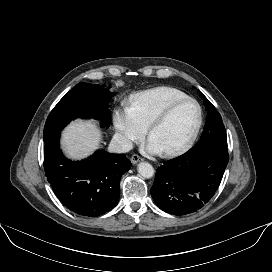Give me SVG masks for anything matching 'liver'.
<instances>
[{"label":"liver","mask_w":272,"mask_h":272,"mask_svg":"<svg viewBox=\"0 0 272 272\" xmlns=\"http://www.w3.org/2000/svg\"><path fill=\"white\" fill-rule=\"evenodd\" d=\"M101 141V131L91 121L76 120L63 132L62 146L70 158L80 159L91 154Z\"/></svg>","instance_id":"obj_1"}]
</instances>
